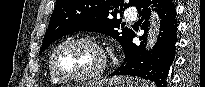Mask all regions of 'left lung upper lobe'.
<instances>
[{
    "label": "left lung upper lobe",
    "instance_id": "obj_1",
    "mask_svg": "<svg viewBox=\"0 0 205 87\" xmlns=\"http://www.w3.org/2000/svg\"><path fill=\"white\" fill-rule=\"evenodd\" d=\"M138 1L56 0L40 53L60 37L77 31H97L117 39L125 47L134 32L127 28L119 31L123 25L117 14L136 6Z\"/></svg>",
    "mask_w": 205,
    "mask_h": 87
}]
</instances>
